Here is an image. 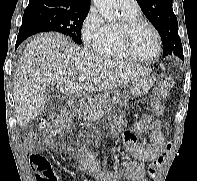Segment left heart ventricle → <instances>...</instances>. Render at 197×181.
I'll return each instance as SVG.
<instances>
[{
  "label": "left heart ventricle",
  "instance_id": "b2bd125f",
  "mask_svg": "<svg viewBox=\"0 0 197 181\" xmlns=\"http://www.w3.org/2000/svg\"><path fill=\"white\" fill-rule=\"evenodd\" d=\"M132 48L140 57H152L157 50V40L153 31L147 26L139 27L133 34Z\"/></svg>",
  "mask_w": 197,
  "mask_h": 181
}]
</instances>
